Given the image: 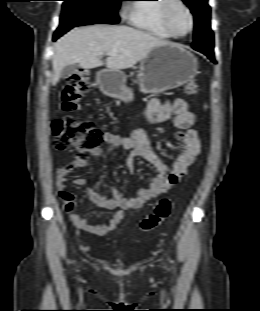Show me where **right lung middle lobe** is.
Segmentation results:
<instances>
[{
    "label": "right lung middle lobe",
    "mask_w": 260,
    "mask_h": 311,
    "mask_svg": "<svg viewBox=\"0 0 260 311\" xmlns=\"http://www.w3.org/2000/svg\"><path fill=\"white\" fill-rule=\"evenodd\" d=\"M60 30L96 23L116 24L123 0H63Z\"/></svg>",
    "instance_id": "obj_1"
}]
</instances>
